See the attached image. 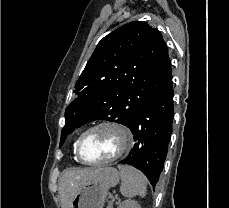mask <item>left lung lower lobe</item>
<instances>
[{"label": "left lung lower lobe", "instance_id": "0a47b994", "mask_svg": "<svg viewBox=\"0 0 229 208\" xmlns=\"http://www.w3.org/2000/svg\"><path fill=\"white\" fill-rule=\"evenodd\" d=\"M174 117L173 84L150 100L138 112L128 128L134 135V147L120 163L142 171L152 186L159 181L172 133Z\"/></svg>", "mask_w": 229, "mask_h": 208}]
</instances>
